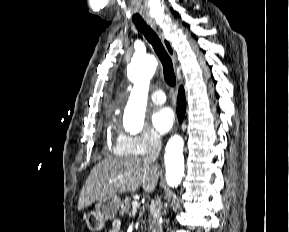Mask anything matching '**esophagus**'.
<instances>
[{
    "mask_svg": "<svg viewBox=\"0 0 289 232\" xmlns=\"http://www.w3.org/2000/svg\"><path fill=\"white\" fill-rule=\"evenodd\" d=\"M151 27L153 30H155L158 33L159 38L161 39L162 44L165 47L167 53L171 57L173 63L176 64L177 63L176 53H175V50H174L170 40L165 37L164 33L160 29H157L155 24H151Z\"/></svg>",
    "mask_w": 289,
    "mask_h": 232,
    "instance_id": "1",
    "label": "esophagus"
}]
</instances>
